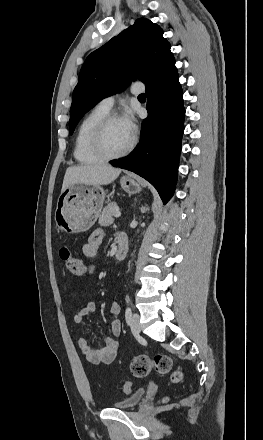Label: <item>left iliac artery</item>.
Instances as JSON below:
<instances>
[{
    "instance_id": "obj_1",
    "label": "left iliac artery",
    "mask_w": 263,
    "mask_h": 440,
    "mask_svg": "<svg viewBox=\"0 0 263 440\" xmlns=\"http://www.w3.org/2000/svg\"><path fill=\"white\" fill-rule=\"evenodd\" d=\"M131 318H132L131 308L127 307L126 310H125V320H126L128 325L130 324Z\"/></svg>"
}]
</instances>
